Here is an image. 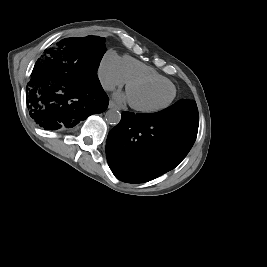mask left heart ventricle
<instances>
[{
    "label": "left heart ventricle",
    "mask_w": 267,
    "mask_h": 267,
    "mask_svg": "<svg viewBox=\"0 0 267 267\" xmlns=\"http://www.w3.org/2000/svg\"><path fill=\"white\" fill-rule=\"evenodd\" d=\"M173 95V88L166 84H139L128 91L130 101L145 107L160 106L167 103Z\"/></svg>",
    "instance_id": "b2bd125f"
}]
</instances>
